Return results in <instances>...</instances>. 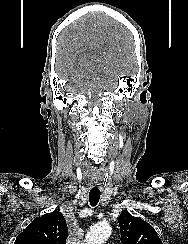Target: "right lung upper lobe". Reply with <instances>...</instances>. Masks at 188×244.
I'll use <instances>...</instances> for the list:
<instances>
[{
  "mask_svg": "<svg viewBox=\"0 0 188 244\" xmlns=\"http://www.w3.org/2000/svg\"><path fill=\"white\" fill-rule=\"evenodd\" d=\"M66 221L59 211L35 218L16 238L14 244H65Z\"/></svg>",
  "mask_w": 188,
  "mask_h": 244,
  "instance_id": "right-lung-upper-lobe-1",
  "label": "right lung upper lobe"
}]
</instances>
